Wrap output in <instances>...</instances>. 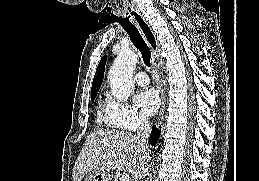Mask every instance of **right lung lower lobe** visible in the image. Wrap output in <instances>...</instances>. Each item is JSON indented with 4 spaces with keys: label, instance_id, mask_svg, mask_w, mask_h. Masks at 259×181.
I'll list each match as a JSON object with an SVG mask.
<instances>
[{
    "label": "right lung lower lobe",
    "instance_id": "1",
    "mask_svg": "<svg viewBox=\"0 0 259 181\" xmlns=\"http://www.w3.org/2000/svg\"><path fill=\"white\" fill-rule=\"evenodd\" d=\"M159 136H160V130L156 128V126H153L152 127V133L150 135V138H149V142L152 144V145H155L159 139Z\"/></svg>",
    "mask_w": 259,
    "mask_h": 181
}]
</instances>
